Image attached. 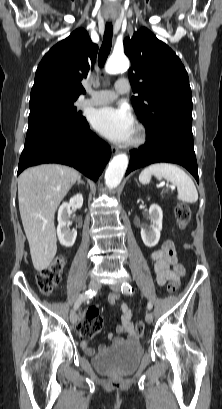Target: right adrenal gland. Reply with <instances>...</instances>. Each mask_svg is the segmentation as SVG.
Wrapping results in <instances>:
<instances>
[{"label": "right adrenal gland", "instance_id": "1", "mask_svg": "<svg viewBox=\"0 0 222 409\" xmlns=\"http://www.w3.org/2000/svg\"><path fill=\"white\" fill-rule=\"evenodd\" d=\"M77 184L79 185V184H82V185H84L85 183L81 180V178L79 177L78 178V180H77Z\"/></svg>", "mask_w": 222, "mask_h": 409}]
</instances>
